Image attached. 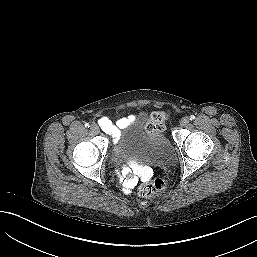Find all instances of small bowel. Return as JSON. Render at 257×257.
Here are the masks:
<instances>
[{
    "label": "small bowel",
    "instance_id": "1",
    "mask_svg": "<svg viewBox=\"0 0 257 257\" xmlns=\"http://www.w3.org/2000/svg\"><path fill=\"white\" fill-rule=\"evenodd\" d=\"M130 121L131 117H123L116 123H113L108 118L102 117L99 119V125L105 132L109 133L114 137L115 140H117L120 134V130L126 127ZM127 173L128 170L126 168L122 170L123 175H126ZM139 174L142 179H147L150 176V172L146 169H141Z\"/></svg>",
    "mask_w": 257,
    "mask_h": 257
}]
</instances>
